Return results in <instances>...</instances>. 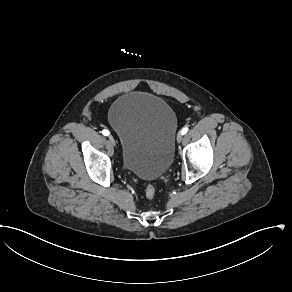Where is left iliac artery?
Returning <instances> with one entry per match:
<instances>
[{
  "mask_svg": "<svg viewBox=\"0 0 292 292\" xmlns=\"http://www.w3.org/2000/svg\"><path fill=\"white\" fill-rule=\"evenodd\" d=\"M188 132V127H184L182 130H181V134L184 135Z\"/></svg>",
  "mask_w": 292,
  "mask_h": 292,
  "instance_id": "obj_1",
  "label": "left iliac artery"
}]
</instances>
